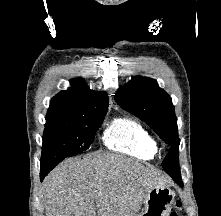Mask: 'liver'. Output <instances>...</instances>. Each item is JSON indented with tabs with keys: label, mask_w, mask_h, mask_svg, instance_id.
<instances>
[{
	"label": "liver",
	"mask_w": 221,
	"mask_h": 216,
	"mask_svg": "<svg viewBox=\"0 0 221 216\" xmlns=\"http://www.w3.org/2000/svg\"><path fill=\"white\" fill-rule=\"evenodd\" d=\"M167 182L152 166L94 152L59 164L45 178L42 198L46 216H137L147 193Z\"/></svg>",
	"instance_id": "liver-1"
}]
</instances>
